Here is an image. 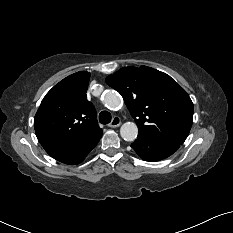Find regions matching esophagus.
I'll use <instances>...</instances> for the list:
<instances>
[{
	"label": "esophagus",
	"instance_id": "1",
	"mask_svg": "<svg viewBox=\"0 0 233 233\" xmlns=\"http://www.w3.org/2000/svg\"><path fill=\"white\" fill-rule=\"evenodd\" d=\"M121 124V119L118 116H115L112 121L108 124L109 127L111 128H116L120 126Z\"/></svg>",
	"mask_w": 233,
	"mask_h": 233
}]
</instances>
